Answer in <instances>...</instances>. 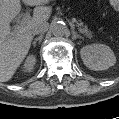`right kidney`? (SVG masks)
<instances>
[{
    "label": "right kidney",
    "mask_w": 119,
    "mask_h": 119,
    "mask_svg": "<svg viewBox=\"0 0 119 119\" xmlns=\"http://www.w3.org/2000/svg\"><path fill=\"white\" fill-rule=\"evenodd\" d=\"M35 62H36L35 56L33 55L28 56L24 63V70L27 72H31L35 65Z\"/></svg>",
    "instance_id": "1"
}]
</instances>
